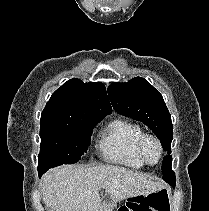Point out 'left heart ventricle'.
<instances>
[{
  "instance_id": "left-heart-ventricle-1",
  "label": "left heart ventricle",
  "mask_w": 209,
  "mask_h": 211,
  "mask_svg": "<svg viewBox=\"0 0 209 211\" xmlns=\"http://www.w3.org/2000/svg\"><path fill=\"white\" fill-rule=\"evenodd\" d=\"M144 153L150 162H155L159 156L157 145L153 141H147L144 145Z\"/></svg>"
}]
</instances>
